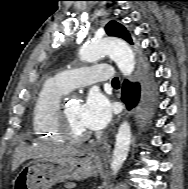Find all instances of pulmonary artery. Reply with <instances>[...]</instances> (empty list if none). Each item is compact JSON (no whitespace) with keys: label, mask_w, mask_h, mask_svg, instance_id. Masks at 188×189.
Returning a JSON list of instances; mask_svg holds the SVG:
<instances>
[{"label":"pulmonary artery","mask_w":188,"mask_h":189,"mask_svg":"<svg viewBox=\"0 0 188 189\" xmlns=\"http://www.w3.org/2000/svg\"><path fill=\"white\" fill-rule=\"evenodd\" d=\"M115 78L109 64H97L86 68L69 69L59 72L54 79L66 90L85 87L93 83L109 82Z\"/></svg>","instance_id":"pulmonary-artery-1"}]
</instances>
